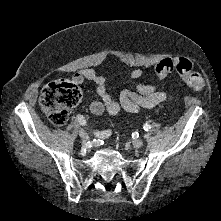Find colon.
<instances>
[{
	"label": "colon",
	"mask_w": 221,
	"mask_h": 221,
	"mask_svg": "<svg viewBox=\"0 0 221 221\" xmlns=\"http://www.w3.org/2000/svg\"><path fill=\"white\" fill-rule=\"evenodd\" d=\"M176 72L193 89L201 90L204 79L194 70L192 62L186 58H167L155 66L158 79H164ZM82 91L68 80H58L47 84L40 96V105L51 123L64 125L69 118V110L80 103Z\"/></svg>",
	"instance_id": "obj_1"
}]
</instances>
